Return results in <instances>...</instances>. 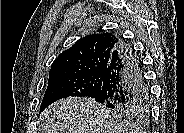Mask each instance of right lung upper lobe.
<instances>
[{
    "label": "right lung upper lobe",
    "instance_id": "right-lung-upper-lobe-1",
    "mask_svg": "<svg viewBox=\"0 0 184 133\" xmlns=\"http://www.w3.org/2000/svg\"><path fill=\"white\" fill-rule=\"evenodd\" d=\"M118 42L119 39L112 33L83 37L54 60L48 83L66 77L103 73Z\"/></svg>",
    "mask_w": 184,
    "mask_h": 133
}]
</instances>
